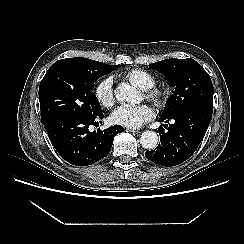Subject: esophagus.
<instances>
[{"label": "esophagus", "mask_w": 244, "mask_h": 244, "mask_svg": "<svg viewBox=\"0 0 244 244\" xmlns=\"http://www.w3.org/2000/svg\"><path fill=\"white\" fill-rule=\"evenodd\" d=\"M126 130L129 132H133V133H139L140 132L139 130H134V129H130V128H127Z\"/></svg>", "instance_id": "obj_1"}]
</instances>
